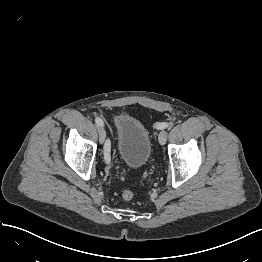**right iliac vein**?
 Returning a JSON list of instances; mask_svg holds the SVG:
<instances>
[{
	"label": "right iliac vein",
	"mask_w": 262,
	"mask_h": 262,
	"mask_svg": "<svg viewBox=\"0 0 262 262\" xmlns=\"http://www.w3.org/2000/svg\"><path fill=\"white\" fill-rule=\"evenodd\" d=\"M98 132H99V141L101 144H103L106 139V130L104 129V127L100 126L98 128Z\"/></svg>",
	"instance_id": "63e3f726"
}]
</instances>
